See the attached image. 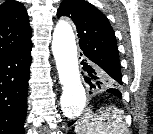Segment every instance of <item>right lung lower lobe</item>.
Returning a JSON list of instances; mask_svg holds the SVG:
<instances>
[{"mask_svg": "<svg viewBox=\"0 0 153 134\" xmlns=\"http://www.w3.org/2000/svg\"><path fill=\"white\" fill-rule=\"evenodd\" d=\"M32 44L0 57V134H24Z\"/></svg>", "mask_w": 153, "mask_h": 134, "instance_id": "98d812e1", "label": "right lung lower lobe"}]
</instances>
